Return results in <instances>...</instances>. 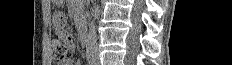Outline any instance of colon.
Segmentation results:
<instances>
[{
    "label": "colon",
    "mask_w": 232,
    "mask_h": 65,
    "mask_svg": "<svg viewBox=\"0 0 232 65\" xmlns=\"http://www.w3.org/2000/svg\"><path fill=\"white\" fill-rule=\"evenodd\" d=\"M74 51L72 37H59L53 41L52 53L53 60L58 65H63L70 61Z\"/></svg>",
    "instance_id": "obj_1"
}]
</instances>
